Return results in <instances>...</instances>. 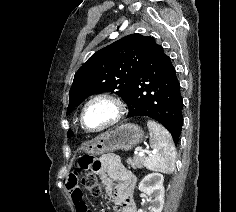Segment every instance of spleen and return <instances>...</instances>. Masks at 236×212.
<instances>
[{
  "mask_svg": "<svg viewBox=\"0 0 236 212\" xmlns=\"http://www.w3.org/2000/svg\"><path fill=\"white\" fill-rule=\"evenodd\" d=\"M152 152L146 158L145 167L151 171L170 174L175 169L176 149L171 134L159 123L148 120Z\"/></svg>",
  "mask_w": 236,
  "mask_h": 212,
  "instance_id": "obj_1",
  "label": "spleen"
}]
</instances>
